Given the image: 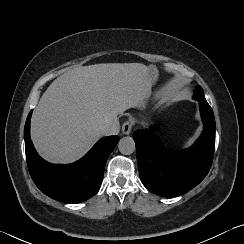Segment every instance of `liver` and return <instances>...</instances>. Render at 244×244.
<instances>
[{"label":"liver","instance_id":"obj_1","mask_svg":"<svg viewBox=\"0 0 244 244\" xmlns=\"http://www.w3.org/2000/svg\"><path fill=\"white\" fill-rule=\"evenodd\" d=\"M142 63L68 68L44 92L31 120V139L46 161L70 164L102 136L100 126L136 107L147 94Z\"/></svg>","mask_w":244,"mask_h":244}]
</instances>
